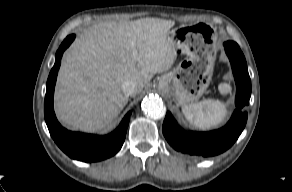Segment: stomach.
Returning a JSON list of instances; mask_svg holds the SVG:
<instances>
[{
  "label": "stomach",
  "instance_id": "1",
  "mask_svg": "<svg viewBox=\"0 0 292 192\" xmlns=\"http://www.w3.org/2000/svg\"><path fill=\"white\" fill-rule=\"evenodd\" d=\"M176 50L185 57L159 80L158 89L175 103L197 100L211 82L217 52L215 28L207 24L182 26L170 32Z\"/></svg>",
  "mask_w": 292,
  "mask_h": 192
}]
</instances>
